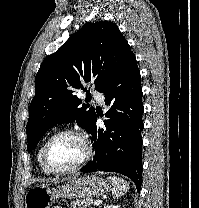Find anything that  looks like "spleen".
I'll use <instances>...</instances> for the list:
<instances>
[{
	"mask_svg": "<svg viewBox=\"0 0 199 208\" xmlns=\"http://www.w3.org/2000/svg\"><path fill=\"white\" fill-rule=\"evenodd\" d=\"M112 184V195L114 198H119L130 189L129 184L121 178L110 176L108 177Z\"/></svg>",
	"mask_w": 199,
	"mask_h": 208,
	"instance_id": "spleen-1",
	"label": "spleen"
}]
</instances>
